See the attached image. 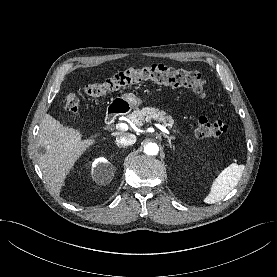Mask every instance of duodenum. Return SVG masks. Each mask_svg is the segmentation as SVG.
<instances>
[{"label": "duodenum", "mask_w": 277, "mask_h": 277, "mask_svg": "<svg viewBox=\"0 0 277 277\" xmlns=\"http://www.w3.org/2000/svg\"><path fill=\"white\" fill-rule=\"evenodd\" d=\"M122 110L119 107H113L111 108L105 117V123L107 125H111L114 123V121L117 119V117L120 115Z\"/></svg>", "instance_id": "1"}]
</instances>
